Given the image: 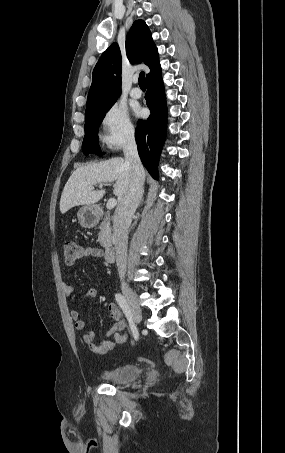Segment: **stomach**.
I'll return each instance as SVG.
<instances>
[{
    "label": "stomach",
    "mask_w": 285,
    "mask_h": 453,
    "mask_svg": "<svg viewBox=\"0 0 285 453\" xmlns=\"http://www.w3.org/2000/svg\"><path fill=\"white\" fill-rule=\"evenodd\" d=\"M79 223L84 228H92L98 223V214L93 206H83L77 213Z\"/></svg>",
    "instance_id": "stomach-1"
}]
</instances>
